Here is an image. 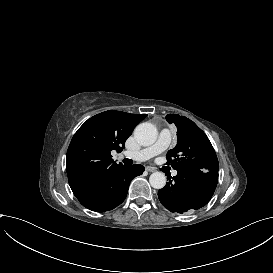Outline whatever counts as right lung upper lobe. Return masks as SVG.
<instances>
[{
  "mask_svg": "<svg viewBox=\"0 0 273 273\" xmlns=\"http://www.w3.org/2000/svg\"><path fill=\"white\" fill-rule=\"evenodd\" d=\"M147 114L108 110L88 119L74 134L67 151L66 170L75 196L89 190L111 170L122 166L111 158Z\"/></svg>",
  "mask_w": 273,
  "mask_h": 273,
  "instance_id": "1",
  "label": "right lung upper lobe"
}]
</instances>
